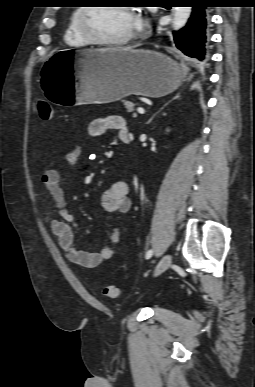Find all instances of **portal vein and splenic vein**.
I'll list each match as a JSON object with an SVG mask.
<instances>
[{"label": "portal vein and splenic vein", "instance_id": "portal-vein-and-splenic-vein-1", "mask_svg": "<svg viewBox=\"0 0 255 387\" xmlns=\"http://www.w3.org/2000/svg\"><path fill=\"white\" fill-rule=\"evenodd\" d=\"M137 112H138L139 114H144V113H145L144 109L141 108V107H139V108L137 109Z\"/></svg>", "mask_w": 255, "mask_h": 387}]
</instances>
